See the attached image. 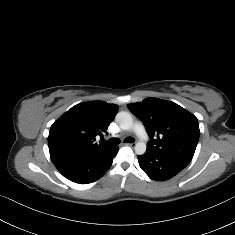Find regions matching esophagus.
Here are the masks:
<instances>
[{"label": "esophagus", "mask_w": 235, "mask_h": 235, "mask_svg": "<svg viewBox=\"0 0 235 235\" xmlns=\"http://www.w3.org/2000/svg\"><path fill=\"white\" fill-rule=\"evenodd\" d=\"M124 145L130 146L131 148H134L136 143H125Z\"/></svg>", "instance_id": "esophagus-1"}]
</instances>
